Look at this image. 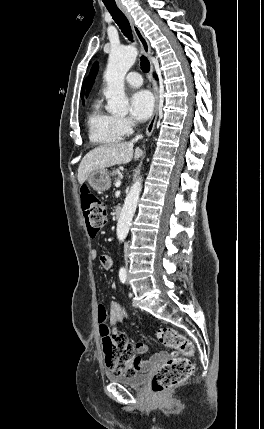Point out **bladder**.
<instances>
[{
	"instance_id": "31cf9c89",
	"label": "bladder",
	"mask_w": 264,
	"mask_h": 429,
	"mask_svg": "<svg viewBox=\"0 0 264 429\" xmlns=\"http://www.w3.org/2000/svg\"><path fill=\"white\" fill-rule=\"evenodd\" d=\"M148 377V372H138L131 375H108V379L110 381L132 388H138L142 386L148 380Z\"/></svg>"
}]
</instances>
